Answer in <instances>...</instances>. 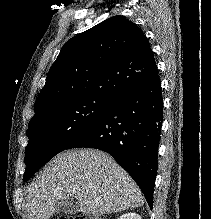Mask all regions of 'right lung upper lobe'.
I'll return each instance as SVG.
<instances>
[{
    "instance_id": "right-lung-upper-lobe-1",
    "label": "right lung upper lobe",
    "mask_w": 211,
    "mask_h": 219,
    "mask_svg": "<svg viewBox=\"0 0 211 219\" xmlns=\"http://www.w3.org/2000/svg\"><path fill=\"white\" fill-rule=\"evenodd\" d=\"M157 70L149 41L124 16L111 17L67 41L50 68L32 119L79 98L114 101Z\"/></svg>"
}]
</instances>
